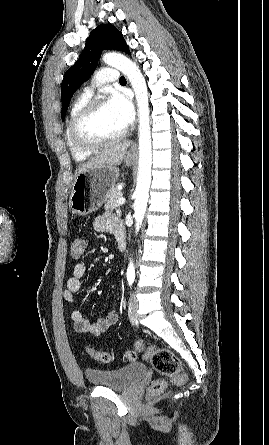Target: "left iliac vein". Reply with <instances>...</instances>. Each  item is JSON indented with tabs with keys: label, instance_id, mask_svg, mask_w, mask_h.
<instances>
[{
	"label": "left iliac vein",
	"instance_id": "4c4485c4",
	"mask_svg": "<svg viewBox=\"0 0 269 445\" xmlns=\"http://www.w3.org/2000/svg\"><path fill=\"white\" fill-rule=\"evenodd\" d=\"M138 300L134 293L131 294L128 305V316L133 324L138 323Z\"/></svg>",
	"mask_w": 269,
	"mask_h": 445
}]
</instances>
